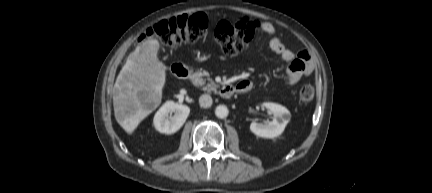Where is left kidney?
I'll return each mask as SVG.
<instances>
[{
  "instance_id": "5707ae66",
  "label": "left kidney",
  "mask_w": 432,
  "mask_h": 193,
  "mask_svg": "<svg viewBox=\"0 0 432 193\" xmlns=\"http://www.w3.org/2000/svg\"><path fill=\"white\" fill-rule=\"evenodd\" d=\"M263 106L272 112L273 120L266 124L252 122L251 132L262 138H274L281 135L291 118L289 110L272 102L263 103Z\"/></svg>"
}]
</instances>
